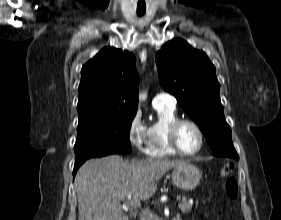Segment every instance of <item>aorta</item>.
<instances>
[{
	"instance_id": "762f6f07",
	"label": "aorta",
	"mask_w": 281,
	"mask_h": 220,
	"mask_svg": "<svg viewBox=\"0 0 281 220\" xmlns=\"http://www.w3.org/2000/svg\"><path fill=\"white\" fill-rule=\"evenodd\" d=\"M146 99V95H142L141 97H140V100H145Z\"/></svg>"
}]
</instances>
